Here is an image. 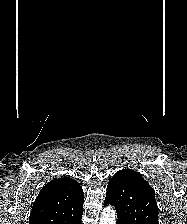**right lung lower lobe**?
<instances>
[{"mask_svg": "<svg viewBox=\"0 0 187 224\" xmlns=\"http://www.w3.org/2000/svg\"><path fill=\"white\" fill-rule=\"evenodd\" d=\"M81 218H82V215H80L79 217H77L75 219H72L69 224H82Z\"/></svg>", "mask_w": 187, "mask_h": 224, "instance_id": "right-lung-lower-lobe-1", "label": "right lung lower lobe"}]
</instances>
